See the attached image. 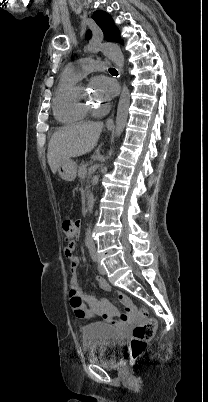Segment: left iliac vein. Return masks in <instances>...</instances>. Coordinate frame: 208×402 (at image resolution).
<instances>
[{
    "label": "left iliac vein",
    "mask_w": 208,
    "mask_h": 402,
    "mask_svg": "<svg viewBox=\"0 0 208 402\" xmlns=\"http://www.w3.org/2000/svg\"><path fill=\"white\" fill-rule=\"evenodd\" d=\"M98 271L101 275H105L106 274V270L104 268V266L102 264H98Z\"/></svg>",
    "instance_id": "1"
}]
</instances>
